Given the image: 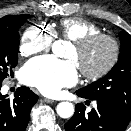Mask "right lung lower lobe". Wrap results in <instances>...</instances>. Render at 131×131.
<instances>
[{
  "instance_id": "right-lung-lower-lobe-1",
  "label": "right lung lower lobe",
  "mask_w": 131,
  "mask_h": 131,
  "mask_svg": "<svg viewBox=\"0 0 131 131\" xmlns=\"http://www.w3.org/2000/svg\"><path fill=\"white\" fill-rule=\"evenodd\" d=\"M37 100L38 96L27 87L19 88L13 101L0 93V131H25Z\"/></svg>"
}]
</instances>
